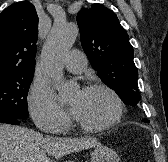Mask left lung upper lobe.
<instances>
[{
	"mask_svg": "<svg viewBox=\"0 0 168 162\" xmlns=\"http://www.w3.org/2000/svg\"><path fill=\"white\" fill-rule=\"evenodd\" d=\"M82 48L103 83L112 88L123 102L139 104L138 72L134 50L125 29L114 12L101 4L77 14Z\"/></svg>",
	"mask_w": 168,
	"mask_h": 162,
	"instance_id": "5c2ea615",
	"label": "left lung upper lobe"
}]
</instances>
